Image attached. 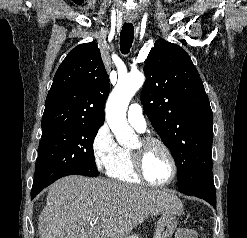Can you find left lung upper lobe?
<instances>
[{
  "label": "left lung upper lobe",
  "instance_id": "1",
  "mask_svg": "<svg viewBox=\"0 0 247 238\" xmlns=\"http://www.w3.org/2000/svg\"><path fill=\"white\" fill-rule=\"evenodd\" d=\"M144 71L141 102L175 159L180 191L187 194L213 182L212 110L191 58L180 46L159 39Z\"/></svg>",
  "mask_w": 247,
  "mask_h": 238
}]
</instances>
